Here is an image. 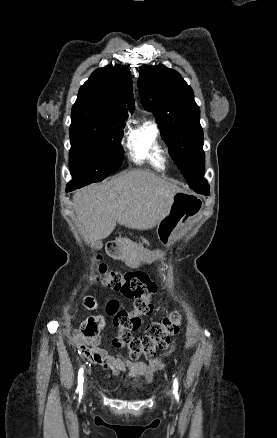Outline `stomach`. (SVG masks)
Masks as SVG:
<instances>
[{"instance_id": "stomach-1", "label": "stomach", "mask_w": 277, "mask_h": 438, "mask_svg": "<svg viewBox=\"0 0 277 438\" xmlns=\"http://www.w3.org/2000/svg\"><path fill=\"white\" fill-rule=\"evenodd\" d=\"M202 201L187 191H180L173 195L171 206L167 215L158 224V236L161 242L172 247L178 239V229L180 226L192 218L198 216L202 211ZM163 253L159 250L154 252L141 251L133 254L132 266H137L141 262L152 263L162 258Z\"/></svg>"}]
</instances>
